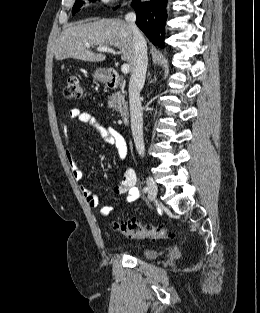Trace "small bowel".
<instances>
[{"label":"small bowel","instance_id":"c3829d8e","mask_svg":"<svg viewBox=\"0 0 260 313\" xmlns=\"http://www.w3.org/2000/svg\"><path fill=\"white\" fill-rule=\"evenodd\" d=\"M71 119H77L80 122L90 126L104 142L113 144L117 150L118 158L124 160L127 155V143L125 138L111 125L96 119L91 113L82 111L80 109H72L69 113V118L64 120L61 124L63 140L65 146V157L67 159L72 177L76 181L83 179V172L80 169L76 159L74 158L73 149L70 146L69 125ZM136 173L131 167H127L123 173V180L119 186L114 190L116 195H126V203L128 205L134 204L138 199V189L136 188ZM80 192L86 200V203L91 208L99 207L98 197L86 186H79ZM112 211V206L103 205L99 207V214L108 216Z\"/></svg>","mask_w":260,"mask_h":313}]
</instances>
